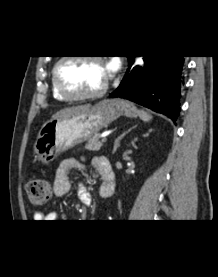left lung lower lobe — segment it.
Returning <instances> with one entry per match:
<instances>
[{
    "label": "left lung lower lobe",
    "instance_id": "obj_1",
    "mask_svg": "<svg viewBox=\"0 0 218 277\" xmlns=\"http://www.w3.org/2000/svg\"><path fill=\"white\" fill-rule=\"evenodd\" d=\"M143 60L144 66L127 70L121 84L110 96L129 99L175 121L180 111L183 56H145Z\"/></svg>",
    "mask_w": 218,
    "mask_h": 277
}]
</instances>
